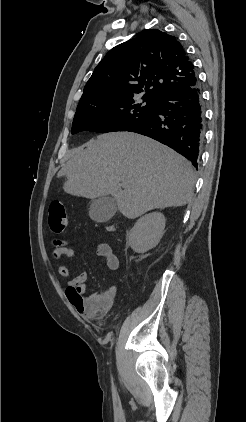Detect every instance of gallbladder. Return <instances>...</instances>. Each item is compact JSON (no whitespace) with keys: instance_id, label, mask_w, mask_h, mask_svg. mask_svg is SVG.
Wrapping results in <instances>:
<instances>
[{"instance_id":"gallbladder-1","label":"gallbladder","mask_w":246,"mask_h":422,"mask_svg":"<svg viewBox=\"0 0 246 422\" xmlns=\"http://www.w3.org/2000/svg\"><path fill=\"white\" fill-rule=\"evenodd\" d=\"M117 211V204L113 197L101 196L91 201L89 216L95 222H107Z\"/></svg>"}]
</instances>
